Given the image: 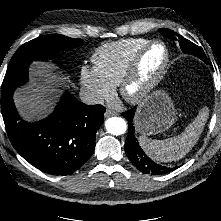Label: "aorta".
Segmentation results:
<instances>
[{"label": "aorta", "instance_id": "762f6f07", "mask_svg": "<svg viewBox=\"0 0 221 221\" xmlns=\"http://www.w3.org/2000/svg\"><path fill=\"white\" fill-rule=\"evenodd\" d=\"M105 128L108 133L118 136L126 132L127 124L125 120L120 117H111L106 120Z\"/></svg>", "mask_w": 221, "mask_h": 221}]
</instances>
